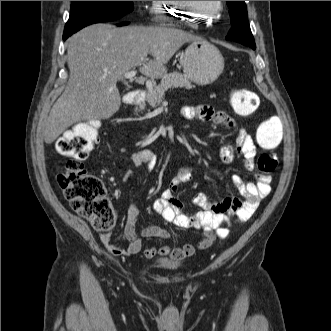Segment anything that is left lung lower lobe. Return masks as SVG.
<instances>
[{
	"label": "left lung lower lobe",
	"mask_w": 331,
	"mask_h": 331,
	"mask_svg": "<svg viewBox=\"0 0 331 331\" xmlns=\"http://www.w3.org/2000/svg\"><path fill=\"white\" fill-rule=\"evenodd\" d=\"M252 49H255L256 48V46H254V47H251Z\"/></svg>",
	"instance_id": "0a47b994"
}]
</instances>
